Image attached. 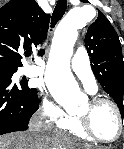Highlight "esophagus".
Wrapping results in <instances>:
<instances>
[{"mask_svg":"<svg viewBox=\"0 0 124 149\" xmlns=\"http://www.w3.org/2000/svg\"><path fill=\"white\" fill-rule=\"evenodd\" d=\"M53 132H54V134H58V130H57V129H56V130H54Z\"/></svg>","mask_w":124,"mask_h":149,"instance_id":"1","label":"esophagus"}]
</instances>
